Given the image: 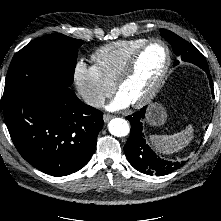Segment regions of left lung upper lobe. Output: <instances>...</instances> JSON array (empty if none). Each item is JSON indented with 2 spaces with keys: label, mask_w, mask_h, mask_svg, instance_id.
<instances>
[{
  "label": "left lung upper lobe",
  "mask_w": 221,
  "mask_h": 221,
  "mask_svg": "<svg viewBox=\"0 0 221 221\" xmlns=\"http://www.w3.org/2000/svg\"><path fill=\"white\" fill-rule=\"evenodd\" d=\"M161 36L165 38L173 47V51L177 56L186 62H191L203 70H209L206 59L204 56L191 44L176 35L175 33L166 29H160ZM178 61L174 62L177 65Z\"/></svg>",
  "instance_id": "left-lung-upper-lobe-1"
}]
</instances>
